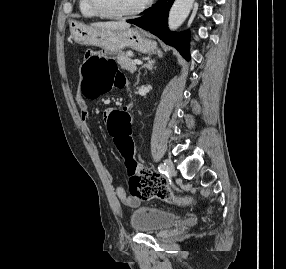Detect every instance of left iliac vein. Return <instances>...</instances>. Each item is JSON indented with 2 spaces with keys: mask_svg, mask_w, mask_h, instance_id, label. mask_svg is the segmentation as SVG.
I'll return each mask as SVG.
<instances>
[{
  "mask_svg": "<svg viewBox=\"0 0 286 269\" xmlns=\"http://www.w3.org/2000/svg\"><path fill=\"white\" fill-rule=\"evenodd\" d=\"M163 164L167 166V171L170 175L174 176L176 174L174 164L170 159H166Z\"/></svg>",
  "mask_w": 286,
  "mask_h": 269,
  "instance_id": "1",
  "label": "left iliac vein"
}]
</instances>
